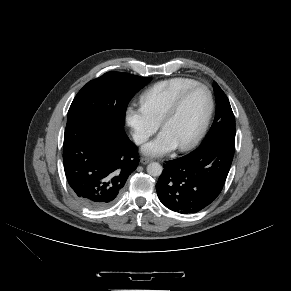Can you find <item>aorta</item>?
Listing matches in <instances>:
<instances>
[{"mask_svg":"<svg viewBox=\"0 0 291 291\" xmlns=\"http://www.w3.org/2000/svg\"><path fill=\"white\" fill-rule=\"evenodd\" d=\"M162 170V166L157 162H152L147 166V173L154 177L160 176Z\"/></svg>","mask_w":291,"mask_h":291,"instance_id":"762f6f07","label":"aorta"}]
</instances>
